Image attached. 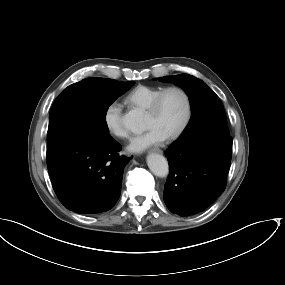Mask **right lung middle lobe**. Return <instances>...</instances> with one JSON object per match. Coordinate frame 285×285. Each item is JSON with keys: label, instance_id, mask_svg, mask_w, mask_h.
I'll use <instances>...</instances> for the list:
<instances>
[{"label": "right lung middle lobe", "instance_id": "right-lung-middle-lobe-1", "mask_svg": "<svg viewBox=\"0 0 285 285\" xmlns=\"http://www.w3.org/2000/svg\"><path fill=\"white\" fill-rule=\"evenodd\" d=\"M134 81L87 78L65 88L56 98L49 115L48 149L69 135L81 131L109 134L106 113L109 106Z\"/></svg>", "mask_w": 285, "mask_h": 285}]
</instances>
